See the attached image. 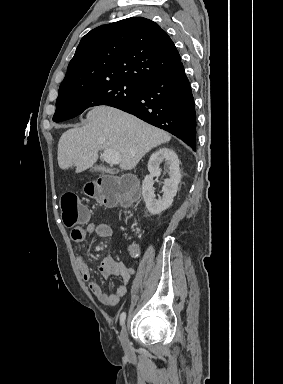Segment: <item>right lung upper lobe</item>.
Instances as JSON below:
<instances>
[{
    "label": "right lung upper lobe",
    "instance_id": "obj_1",
    "mask_svg": "<svg viewBox=\"0 0 283 384\" xmlns=\"http://www.w3.org/2000/svg\"><path fill=\"white\" fill-rule=\"evenodd\" d=\"M183 68L173 41L146 18L99 26L80 41L61 87L126 80L144 84Z\"/></svg>",
    "mask_w": 283,
    "mask_h": 384
}]
</instances>
